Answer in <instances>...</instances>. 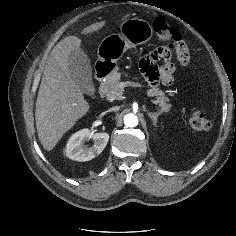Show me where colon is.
<instances>
[{
    "label": "colon",
    "mask_w": 236,
    "mask_h": 236,
    "mask_svg": "<svg viewBox=\"0 0 236 236\" xmlns=\"http://www.w3.org/2000/svg\"><path fill=\"white\" fill-rule=\"evenodd\" d=\"M153 29L162 40L168 42V47L170 49L180 51L187 48L182 35L174 27L169 25L165 20L161 18L155 19L153 22ZM210 126V121L203 111L196 110L190 115L189 127L192 131H206L210 128Z\"/></svg>",
    "instance_id": "obj_1"
}]
</instances>
